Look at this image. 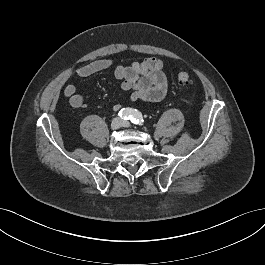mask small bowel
Listing matches in <instances>:
<instances>
[{"label": "small bowel", "mask_w": 265, "mask_h": 265, "mask_svg": "<svg viewBox=\"0 0 265 265\" xmlns=\"http://www.w3.org/2000/svg\"><path fill=\"white\" fill-rule=\"evenodd\" d=\"M112 66L110 60H95L77 68L75 74L79 77H88L108 70ZM163 67L162 60L150 57L141 62H132L128 66H115L113 72L114 76L121 81V89L131 91V101L157 102L162 100L168 91L167 77ZM63 93L69 99V103L73 108L78 109L83 106V97L77 93L74 84H66ZM120 108L119 104L113 106L115 111Z\"/></svg>", "instance_id": "obj_1"}]
</instances>
